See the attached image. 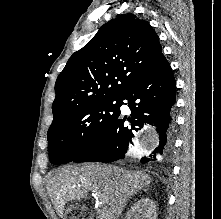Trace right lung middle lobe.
<instances>
[{"label": "right lung middle lobe", "instance_id": "obj_1", "mask_svg": "<svg viewBox=\"0 0 221 219\" xmlns=\"http://www.w3.org/2000/svg\"><path fill=\"white\" fill-rule=\"evenodd\" d=\"M121 99L82 105L54 121L47 133L49 160L71 162L92 148L120 114Z\"/></svg>", "mask_w": 221, "mask_h": 219}]
</instances>
